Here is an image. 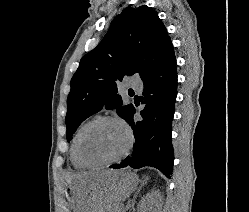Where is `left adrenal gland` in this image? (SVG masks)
<instances>
[{"label":"left adrenal gland","mask_w":249,"mask_h":212,"mask_svg":"<svg viewBox=\"0 0 249 212\" xmlns=\"http://www.w3.org/2000/svg\"><path fill=\"white\" fill-rule=\"evenodd\" d=\"M144 184H145V182H141L140 188H139V190H138V194H140V190H142ZM131 208H133V206H131ZM127 210H128V208H127Z\"/></svg>","instance_id":"obj_1"}]
</instances>
